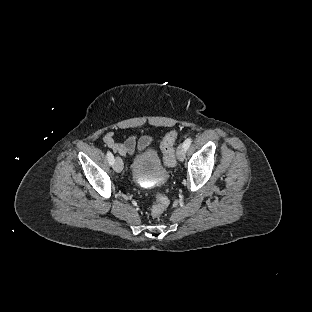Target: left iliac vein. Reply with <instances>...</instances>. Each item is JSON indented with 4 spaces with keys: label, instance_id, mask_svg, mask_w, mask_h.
Returning a JSON list of instances; mask_svg holds the SVG:
<instances>
[{
    "label": "left iliac vein",
    "instance_id": "obj_1",
    "mask_svg": "<svg viewBox=\"0 0 312 312\" xmlns=\"http://www.w3.org/2000/svg\"><path fill=\"white\" fill-rule=\"evenodd\" d=\"M185 154H186L185 148L182 145H180L178 150H177V157H178V159L180 161H183L184 158H185Z\"/></svg>",
    "mask_w": 312,
    "mask_h": 312
}]
</instances>
